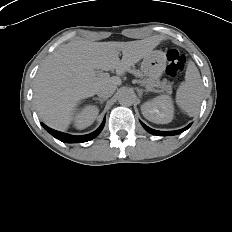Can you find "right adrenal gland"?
Wrapping results in <instances>:
<instances>
[{
  "label": "right adrenal gland",
  "instance_id": "2a0ac1e0",
  "mask_svg": "<svg viewBox=\"0 0 232 232\" xmlns=\"http://www.w3.org/2000/svg\"><path fill=\"white\" fill-rule=\"evenodd\" d=\"M93 100L99 101L100 104H103V102L106 101V99H101L98 97H94Z\"/></svg>",
  "mask_w": 232,
  "mask_h": 232
}]
</instances>
